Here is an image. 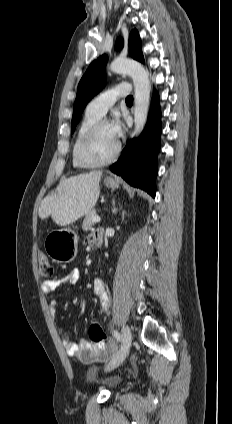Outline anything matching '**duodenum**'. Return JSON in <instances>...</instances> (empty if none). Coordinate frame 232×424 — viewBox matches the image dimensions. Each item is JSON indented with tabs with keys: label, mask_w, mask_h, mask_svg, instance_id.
<instances>
[{
	"label": "duodenum",
	"mask_w": 232,
	"mask_h": 424,
	"mask_svg": "<svg viewBox=\"0 0 232 424\" xmlns=\"http://www.w3.org/2000/svg\"><path fill=\"white\" fill-rule=\"evenodd\" d=\"M100 232H101V234L97 236V238L95 240V243H94L95 246H97V247H100L102 245V243H103L104 235H103V232L102 231H100Z\"/></svg>",
	"instance_id": "obj_1"
}]
</instances>
